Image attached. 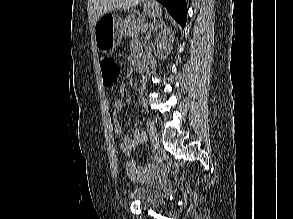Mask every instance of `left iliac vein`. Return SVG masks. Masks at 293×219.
<instances>
[{"instance_id": "obj_1", "label": "left iliac vein", "mask_w": 293, "mask_h": 219, "mask_svg": "<svg viewBox=\"0 0 293 219\" xmlns=\"http://www.w3.org/2000/svg\"><path fill=\"white\" fill-rule=\"evenodd\" d=\"M147 131H148V134H149V137L151 139V142H152V146L154 148V150H156L158 148V132H157V129H156V126L154 124V122L148 118L147 120Z\"/></svg>"}]
</instances>
